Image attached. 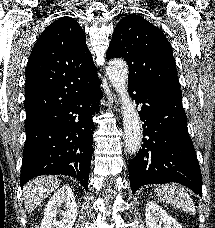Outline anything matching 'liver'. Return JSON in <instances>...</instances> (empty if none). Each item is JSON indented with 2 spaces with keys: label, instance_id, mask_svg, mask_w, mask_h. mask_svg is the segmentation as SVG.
<instances>
[{
  "label": "liver",
  "instance_id": "6515ba94",
  "mask_svg": "<svg viewBox=\"0 0 215 228\" xmlns=\"http://www.w3.org/2000/svg\"><path fill=\"white\" fill-rule=\"evenodd\" d=\"M59 182L56 176H38L35 180H30L23 186V200L26 212L31 214L35 208L48 198L56 188Z\"/></svg>",
  "mask_w": 215,
  "mask_h": 228
}]
</instances>
